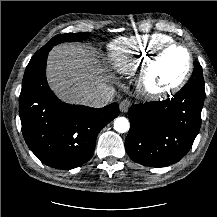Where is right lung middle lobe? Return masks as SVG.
Instances as JSON below:
<instances>
[{
    "label": "right lung middle lobe",
    "mask_w": 217,
    "mask_h": 217,
    "mask_svg": "<svg viewBox=\"0 0 217 217\" xmlns=\"http://www.w3.org/2000/svg\"><path fill=\"white\" fill-rule=\"evenodd\" d=\"M89 36V33H67L63 35H57L53 37L46 45H44L40 50L36 52V54L32 57V59L42 56L45 53H48L53 46H56L59 43L65 42V41H81Z\"/></svg>",
    "instance_id": "dd1d6c3e"
}]
</instances>
